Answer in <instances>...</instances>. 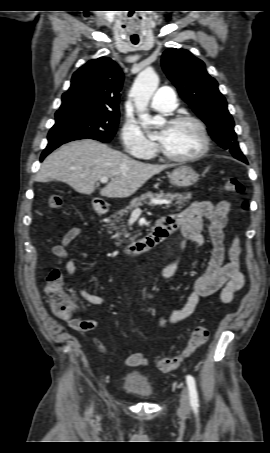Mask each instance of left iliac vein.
<instances>
[{
	"label": "left iliac vein",
	"mask_w": 270,
	"mask_h": 453,
	"mask_svg": "<svg viewBox=\"0 0 270 453\" xmlns=\"http://www.w3.org/2000/svg\"><path fill=\"white\" fill-rule=\"evenodd\" d=\"M190 411V397L187 388H183L180 398L179 412L182 414H188Z\"/></svg>",
	"instance_id": "4c4485c4"
}]
</instances>
